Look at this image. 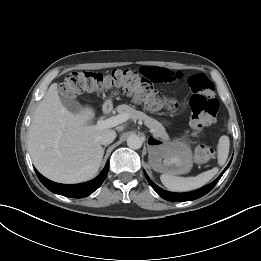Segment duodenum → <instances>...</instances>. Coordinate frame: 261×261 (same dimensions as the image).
I'll list each match as a JSON object with an SVG mask.
<instances>
[{
  "mask_svg": "<svg viewBox=\"0 0 261 261\" xmlns=\"http://www.w3.org/2000/svg\"><path fill=\"white\" fill-rule=\"evenodd\" d=\"M111 110V106L109 104H106L104 107H103V112L105 114L109 113Z\"/></svg>",
  "mask_w": 261,
  "mask_h": 261,
  "instance_id": "1",
  "label": "duodenum"
}]
</instances>
